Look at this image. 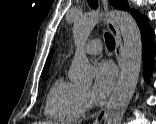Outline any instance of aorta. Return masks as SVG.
I'll return each instance as SVG.
<instances>
[{
    "mask_svg": "<svg viewBox=\"0 0 156 124\" xmlns=\"http://www.w3.org/2000/svg\"><path fill=\"white\" fill-rule=\"evenodd\" d=\"M110 16L118 25L123 38V61L119 85L104 124H121L139 79L142 63V40L137 22L130 14L114 10L110 12ZM102 17L103 13L94 11L74 23L73 38L78 46V51L73 60L70 78L76 83H90L93 80V68L83 51V46L92 29Z\"/></svg>",
    "mask_w": 156,
    "mask_h": 124,
    "instance_id": "762f6f07",
    "label": "aorta"
}]
</instances>
